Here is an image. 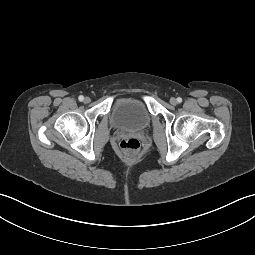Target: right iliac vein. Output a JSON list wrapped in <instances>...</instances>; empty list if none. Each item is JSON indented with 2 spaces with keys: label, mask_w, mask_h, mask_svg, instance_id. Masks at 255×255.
<instances>
[{
  "label": "right iliac vein",
  "mask_w": 255,
  "mask_h": 255,
  "mask_svg": "<svg viewBox=\"0 0 255 255\" xmlns=\"http://www.w3.org/2000/svg\"><path fill=\"white\" fill-rule=\"evenodd\" d=\"M90 101H91V99H90L89 97H85V98H84V103L87 104V103H89Z\"/></svg>",
  "instance_id": "63e3f726"
}]
</instances>
